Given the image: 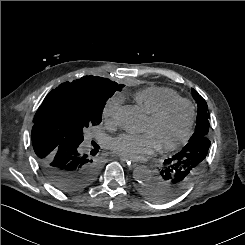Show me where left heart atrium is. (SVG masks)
Masks as SVG:
<instances>
[{"mask_svg":"<svg viewBox=\"0 0 245 245\" xmlns=\"http://www.w3.org/2000/svg\"><path fill=\"white\" fill-rule=\"evenodd\" d=\"M157 145L148 133L122 134L113 141V149L120 156L141 161L154 154Z\"/></svg>","mask_w":245,"mask_h":245,"instance_id":"39dd6f15","label":"left heart atrium"}]
</instances>
